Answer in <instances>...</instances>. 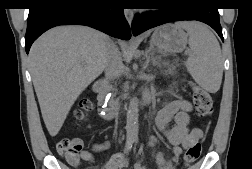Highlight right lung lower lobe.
Here are the masks:
<instances>
[{
    "instance_id": "98d812e1",
    "label": "right lung lower lobe",
    "mask_w": 252,
    "mask_h": 169,
    "mask_svg": "<svg viewBox=\"0 0 252 169\" xmlns=\"http://www.w3.org/2000/svg\"><path fill=\"white\" fill-rule=\"evenodd\" d=\"M70 24L90 26L120 39L131 38L119 0H36L29 8L26 52L46 30Z\"/></svg>"
}]
</instances>
